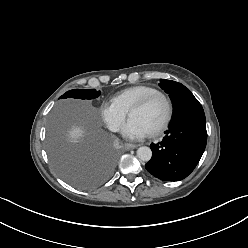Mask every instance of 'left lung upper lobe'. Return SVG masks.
<instances>
[{
	"mask_svg": "<svg viewBox=\"0 0 248 248\" xmlns=\"http://www.w3.org/2000/svg\"><path fill=\"white\" fill-rule=\"evenodd\" d=\"M159 85L169 94L174 110H176L185 99L193 96L188 88L172 80L161 79Z\"/></svg>",
	"mask_w": 248,
	"mask_h": 248,
	"instance_id": "obj_1",
	"label": "left lung upper lobe"
}]
</instances>
